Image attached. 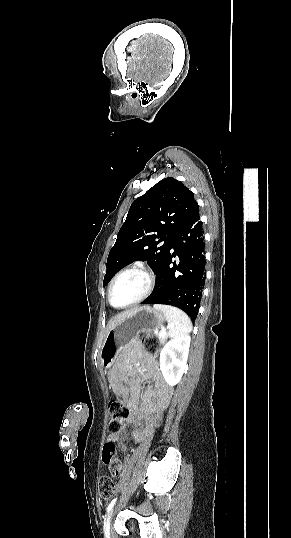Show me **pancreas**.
Segmentation results:
<instances>
[{"instance_id": "1", "label": "pancreas", "mask_w": 291, "mask_h": 538, "mask_svg": "<svg viewBox=\"0 0 291 538\" xmlns=\"http://www.w3.org/2000/svg\"><path fill=\"white\" fill-rule=\"evenodd\" d=\"M157 337L159 339L160 344H164L167 340V336H161L160 334H157Z\"/></svg>"}]
</instances>
